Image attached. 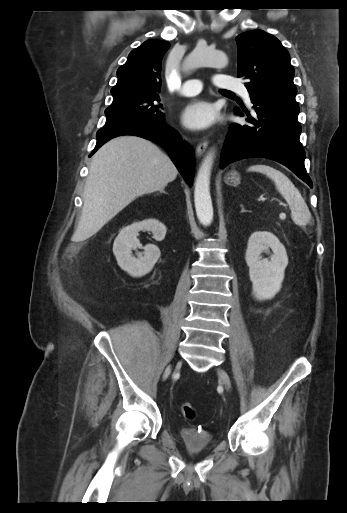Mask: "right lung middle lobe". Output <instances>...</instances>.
Listing matches in <instances>:
<instances>
[{"label":"right lung middle lobe","instance_id":"right-lung-middle-lobe-1","mask_svg":"<svg viewBox=\"0 0 347 513\" xmlns=\"http://www.w3.org/2000/svg\"><path fill=\"white\" fill-rule=\"evenodd\" d=\"M158 95H133L114 100L105 110L106 123L124 118H142L152 122L164 119Z\"/></svg>","mask_w":347,"mask_h":513}]
</instances>
